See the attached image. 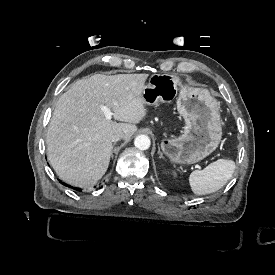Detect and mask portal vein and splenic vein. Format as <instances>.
I'll return each instance as SVG.
<instances>
[{"mask_svg": "<svg viewBox=\"0 0 275 275\" xmlns=\"http://www.w3.org/2000/svg\"><path fill=\"white\" fill-rule=\"evenodd\" d=\"M102 110L104 112L105 117L108 119H111L113 116H117V113L112 112L107 106H103ZM194 168L200 170V167L198 165H194Z\"/></svg>", "mask_w": 275, "mask_h": 275, "instance_id": "obj_1", "label": "portal vein and splenic vein"}]
</instances>
